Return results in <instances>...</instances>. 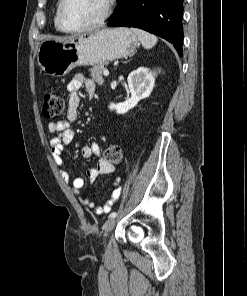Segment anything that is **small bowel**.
Segmentation results:
<instances>
[{"label":"small bowel","instance_id":"1","mask_svg":"<svg viewBox=\"0 0 247 296\" xmlns=\"http://www.w3.org/2000/svg\"><path fill=\"white\" fill-rule=\"evenodd\" d=\"M84 86L87 94L92 96L95 93L96 85L91 79L86 78L82 74H76L67 84V91L69 93L68 108H67V119L57 122H51L48 125L50 133L55 134L50 140V153L55 164L60 169V174L65 181H70V172L65 168V162L63 160L64 146L70 144L74 139V130L71 128V123L77 121L79 117V106L81 98L78 94L80 88ZM81 155L87 159L90 157L97 158L96 166L88 170V180L93 183L100 175H108L113 172L114 167L101 157L100 147L96 143L88 144L82 147ZM84 179L76 177L71 180L70 188L72 192L78 195L80 202L92 208L96 215H102L110 211L113 203L118 199L120 195V182L116 180L113 184V191L111 200L104 205H96L94 201L84 196L81 192L84 186Z\"/></svg>","mask_w":247,"mask_h":296}]
</instances>
